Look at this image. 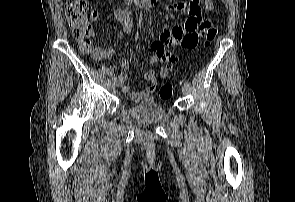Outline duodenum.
Wrapping results in <instances>:
<instances>
[{"mask_svg":"<svg viewBox=\"0 0 295 202\" xmlns=\"http://www.w3.org/2000/svg\"><path fill=\"white\" fill-rule=\"evenodd\" d=\"M130 5H132L133 7H141L143 6L145 3H149L152 0H126Z\"/></svg>","mask_w":295,"mask_h":202,"instance_id":"1","label":"duodenum"}]
</instances>
